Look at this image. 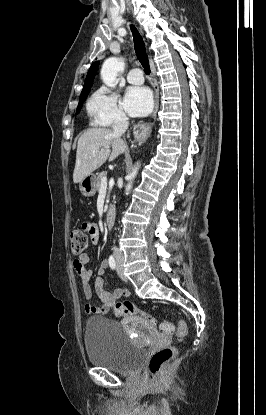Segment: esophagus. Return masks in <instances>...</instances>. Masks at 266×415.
Masks as SVG:
<instances>
[{"mask_svg": "<svg viewBox=\"0 0 266 415\" xmlns=\"http://www.w3.org/2000/svg\"><path fill=\"white\" fill-rule=\"evenodd\" d=\"M159 106V89L155 86V106L152 117H156ZM152 126L151 124H139L134 128V138L138 143L144 142L151 134Z\"/></svg>", "mask_w": 266, "mask_h": 415, "instance_id": "esophagus-1", "label": "esophagus"}]
</instances>
